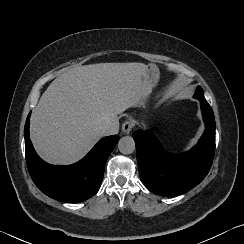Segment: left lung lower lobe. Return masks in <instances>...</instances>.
<instances>
[{"mask_svg":"<svg viewBox=\"0 0 244 244\" xmlns=\"http://www.w3.org/2000/svg\"><path fill=\"white\" fill-rule=\"evenodd\" d=\"M205 133L198 144L184 154H169L149 130L134 132L136 156L142 183L156 194L171 197L198 185L208 174L215 150V119L213 110L203 100Z\"/></svg>","mask_w":244,"mask_h":244,"instance_id":"obj_1","label":"left lung lower lobe"}]
</instances>
